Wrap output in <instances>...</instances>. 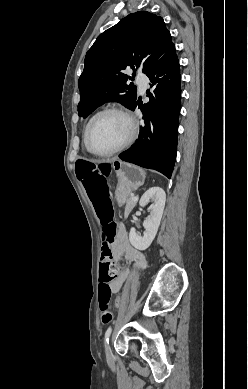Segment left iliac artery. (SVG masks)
<instances>
[{"label": "left iliac artery", "mask_w": 248, "mask_h": 389, "mask_svg": "<svg viewBox=\"0 0 248 389\" xmlns=\"http://www.w3.org/2000/svg\"><path fill=\"white\" fill-rule=\"evenodd\" d=\"M111 332H112L111 327H109L105 332V338H104L105 346L109 343V337H110Z\"/></svg>", "instance_id": "obj_1"}]
</instances>
